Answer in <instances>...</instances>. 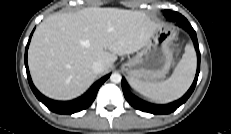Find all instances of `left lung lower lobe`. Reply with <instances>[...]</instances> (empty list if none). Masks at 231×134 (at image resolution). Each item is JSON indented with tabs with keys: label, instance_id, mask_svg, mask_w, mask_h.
Returning <instances> with one entry per match:
<instances>
[{
	"label": "left lung lower lobe",
	"instance_id": "0a47b994",
	"mask_svg": "<svg viewBox=\"0 0 231 134\" xmlns=\"http://www.w3.org/2000/svg\"><path fill=\"white\" fill-rule=\"evenodd\" d=\"M170 20L178 22V25L183 27L185 30H187L195 43V48L196 51L198 52V65H197V71H196V76L194 79V82L190 89L187 91V93L179 100L172 102L170 104L166 105H157V104H151L149 102L143 101L137 96L133 95L129 89L127 88L125 82L122 80V90L124 93V97L126 100L136 109L144 111V112H149L152 114H169L173 111H175L179 106H181L186 100L189 98V96L192 94L195 85L197 83L199 71H200V53H199V47H198V41H197V36L196 32L190 25V23L187 21L185 17H183L181 14L174 12V14L170 15L169 17Z\"/></svg>",
	"mask_w": 231,
	"mask_h": 134
}]
</instances>
